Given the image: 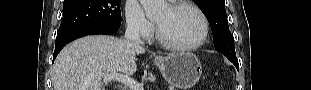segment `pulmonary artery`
<instances>
[{
    "mask_svg": "<svg viewBox=\"0 0 311 90\" xmlns=\"http://www.w3.org/2000/svg\"><path fill=\"white\" fill-rule=\"evenodd\" d=\"M170 2H174L173 0H169Z\"/></svg>",
    "mask_w": 311,
    "mask_h": 90,
    "instance_id": "e3ab8cb5",
    "label": "pulmonary artery"
}]
</instances>
